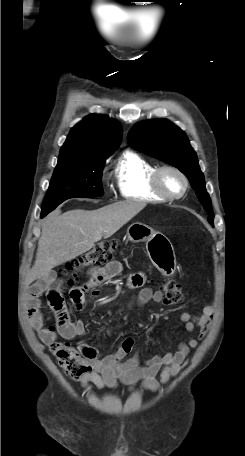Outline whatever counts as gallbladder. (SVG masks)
I'll list each match as a JSON object with an SVG mask.
<instances>
[{
	"label": "gallbladder",
	"instance_id": "obj_1",
	"mask_svg": "<svg viewBox=\"0 0 245 456\" xmlns=\"http://www.w3.org/2000/svg\"><path fill=\"white\" fill-rule=\"evenodd\" d=\"M56 279V272L55 271H52L49 273V276L47 278V280H39V283L40 285L43 287V288H46L49 284V282H53L54 280Z\"/></svg>",
	"mask_w": 245,
	"mask_h": 456
}]
</instances>
